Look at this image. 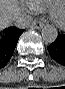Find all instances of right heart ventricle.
<instances>
[{
  "label": "right heart ventricle",
  "instance_id": "right-heart-ventricle-1",
  "mask_svg": "<svg viewBox=\"0 0 65 89\" xmlns=\"http://www.w3.org/2000/svg\"><path fill=\"white\" fill-rule=\"evenodd\" d=\"M29 8L37 13L51 10L53 6L61 4L60 0H28Z\"/></svg>",
  "mask_w": 65,
  "mask_h": 89
}]
</instances>
